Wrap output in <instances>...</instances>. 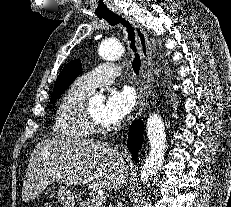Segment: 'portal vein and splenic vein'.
I'll use <instances>...</instances> for the list:
<instances>
[{
	"instance_id": "portal-vein-and-splenic-vein-1",
	"label": "portal vein and splenic vein",
	"mask_w": 231,
	"mask_h": 207,
	"mask_svg": "<svg viewBox=\"0 0 231 207\" xmlns=\"http://www.w3.org/2000/svg\"><path fill=\"white\" fill-rule=\"evenodd\" d=\"M97 200H99V203H101L104 200L103 196H97Z\"/></svg>"
}]
</instances>
